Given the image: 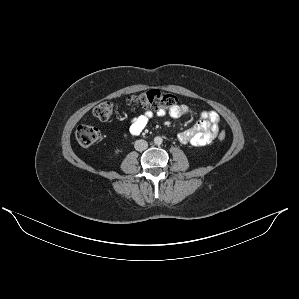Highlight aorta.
<instances>
[{"label":"aorta","mask_w":299,"mask_h":299,"mask_svg":"<svg viewBox=\"0 0 299 299\" xmlns=\"http://www.w3.org/2000/svg\"><path fill=\"white\" fill-rule=\"evenodd\" d=\"M162 142H163V139H162L160 136H156V137L154 138V144H155V145H161Z\"/></svg>","instance_id":"1"}]
</instances>
